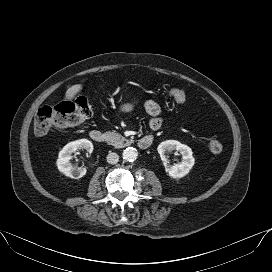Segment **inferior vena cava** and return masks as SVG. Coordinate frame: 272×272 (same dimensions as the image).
<instances>
[{"instance_id": "inferior-vena-cava-1", "label": "inferior vena cava", "mask_w": 272, "mask_h": 272, "mask_svg": "<svg viewBox=\"0 0 272 272\" xmlns=\"http://www.w3.org/2000/svg\"><path fill=\"white\" fill-rule=\"evenodd\" d=\"M119 161V156L117 153L109 152L107 155V162L109 164H116Z\"/></svg>"}]
</instances>
